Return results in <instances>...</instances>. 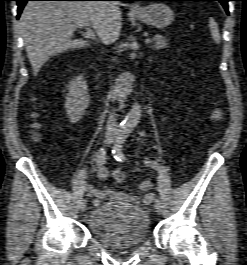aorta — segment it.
I'll return each instance as SVG.
<instances>
[{"label": "aorta", "instance_id": "obj_1", "mask_svg": "<svg viewBox=\"0 0 247 265\" xmlns=\"http://www.w3.org/2000/svg\"><path fill=\"white\" fill-rule=\"evenodd\" d=\"M142 113V107L139 103H134L129 113L126 115L125 119L120 125L121 131L125 133H130L139 123Z\"/></svg>", "mask_w": 247, "mask_h": 265}]
</instances>
